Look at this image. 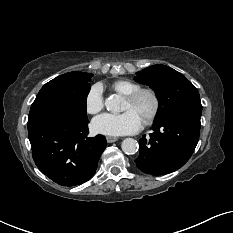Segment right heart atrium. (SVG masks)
Wrapping results in <instances>:
<instances>
[{
    "mask_svg": "<svg viewBox=\"0 0 233 233\" xmlns=\"http://www.w3.org/2000/svg\"><path fill=\"white\" fill-rule=\"evenodd\" d=\"M85 107L88 113L96 114L104 107L102 86L94 84L88 91L85 98Z\"/></svg>",
    "mask_w": 233,
    "mask_h": 233,
    "instance_id": "d8ad5b80",
    "label": "right heart atrium"
}]
</instances>
